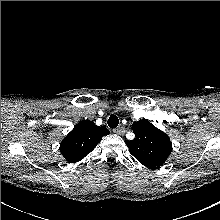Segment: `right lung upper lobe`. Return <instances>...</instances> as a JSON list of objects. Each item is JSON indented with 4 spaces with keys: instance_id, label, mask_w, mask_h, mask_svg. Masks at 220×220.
Here are the masks:
<instances>
[{
    "instance_id": "obj_1",
    "label": "right lung upper lobe",
    "mask_w": 220,
    "mask_h": 220,
    "mask_svg": "<svg viewBox=\"0 0 220 220\" xmlns=\"http://www.w3.org/2000/svg\"><path fill=\"white\" fill-rule=\"evenodd\" d=\"M110 134L105 127H98L90 120L80 121L62 140L60 152L70 163L82 160L92 152L102 137Z\"/></svg>"
}]
</instances>
